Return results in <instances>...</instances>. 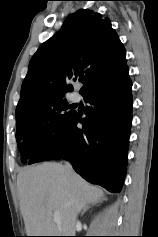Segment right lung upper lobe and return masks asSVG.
I'll use <instances>...</instances> for the list:
<instances>
[{
  "label": "right lung upper lobe",
  "instance_id": "cb5924a9",
  "mask_svg": "<svg viewBox=\"0 0 158 237\" xmlns=\"http://www.w3.org/2000/svg\"><path fill=\"white\" fill-rule=\"evenodd\" d=\"M126 52L111 22L81 9L33 55L21 87L16 118L43 110L73 90L70 80H85L80 93L126 64ZM79 78V79H80Z\"/></svg>",
  "mask_w": 158,
  "mask_h": 237
}]
</instances>
